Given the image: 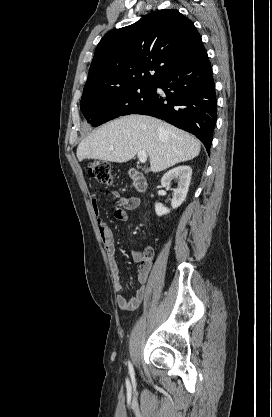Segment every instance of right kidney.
I'll return each mask as SVG.
<instances>
[{
  "label": "right kidney",
  "instance_id": "1",
  "mask_svg": "<svg viewBox=\"0 0 272 417\" xmlns=\"http://www.w3.org/2000/svg\"><path fill=\"white\" fill-rule=\"evenodd\" d=\"M192 169L187 165H182L169 170L161 179L163 187H169L172 180L178 179V187L174 190L171 206L178 208L186 199L188 188L191 181ZM155 212L158 216H163L170 212V209L160 203L155 204Z\"/></svg>",
  "mask_w": 272,
  "mask_h": 417
}]
</instances>
